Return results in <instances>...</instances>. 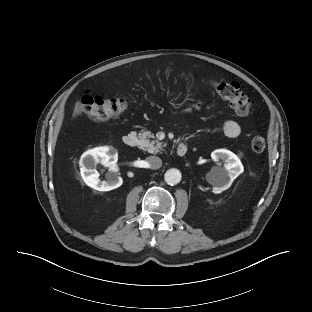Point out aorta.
I'll use <instances>...</instances> for the list:
<instances>
[{"instance_id":"1","label":"aorta","mask_w":312,"mask_h":312,"mask_svg":"<svg viewBox=\"0 0 312 312\" xmlns=\"http://www.w3.org/2000/svg\"><path fill=\"white\" fill-rule=\"evenodd\" d=\"M181 172L178 169L172 168L164 174V180L168 185H176L181 181Z\"/></svg>"}]
</instances>
